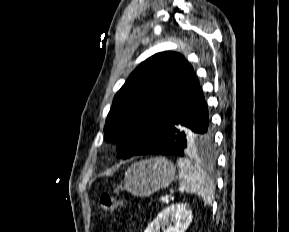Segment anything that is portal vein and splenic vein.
Instances as JSON below:
<instances>
[{
    "instance_id": "1",
    "label": "portal vein and splenic vein",
    "mask_w": 289,
    "mask_h": 232,
    "mask_svg": "<svg viewBox=\"0 0 289 232\" xmlns=\"http://www.w3.org/2000/svg\"><path fill=\"white\" fill-rule=\"evenodd\" d=\"M179 191H180V192H183V188H180ZM165 199H166V198H165L164 196H161V197L159 198V202H164Z\"/></svg>"
}]
</instances>
